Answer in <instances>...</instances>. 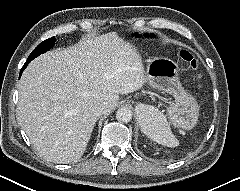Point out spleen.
<instances>
[{
    "label": "spleen",
    "instance_id": "obj_1",
    "mask_svg": "<svg viewBox=\"0 0 240 191\" xmlns=\"http://www.w3.org/2000/svg\"><path fill=\"white\" fill-rule=\"evenodd\" d=\"M142 131L153 141L167 147H176L179 141L172 133L165 115L154 107L147 108L140 113Z\"/></svg>",
    "mask_w": 240,
    "mask_h": 191
}]
</instances>
